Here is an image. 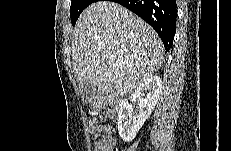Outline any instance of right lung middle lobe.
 <instances>
[{"label":"right lung middle lobe","mask_w":231,"mask_h":151,"mask_svg":"<svg viewBox=\"0 0 231 151\" xmlns=\"http://www.w3.org/2000/svg\"><path fill=\"white\" fill-rule=\"evenodd\" d=\"M94 2L95 0H72L71 7H70V17L73 26L76 24V21L80 16L81 12L87 6H89Z\"/></svg>","instance_id":"right-lung-middle-lobe-1"}]
</instances>
